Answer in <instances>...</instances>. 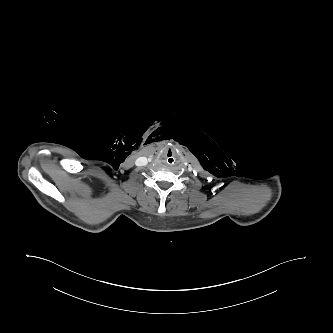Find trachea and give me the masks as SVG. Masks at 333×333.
Segmentation results:
<instances>
[{
  "mask_svg": "<svg viewBox=\"0 0 333 333\" xmlns=\"http://www.w3.org/2000/svg\"><path fill=\"white\" fill-rule=\"evenodd\" d=\"M164 161H165V163L168 164V165H174V164H176L177 161H178V156H177V154L174 153V152H168V153H166L165 156H164Z\"/></svg>",
  "mask_w": 333,
  "mask_h": 333,
  "instance_id": "trachea-1",
  "label": "trachea"
}]
</instances>
